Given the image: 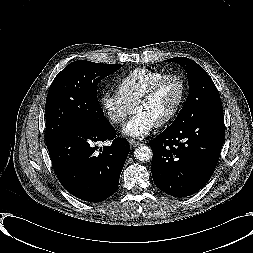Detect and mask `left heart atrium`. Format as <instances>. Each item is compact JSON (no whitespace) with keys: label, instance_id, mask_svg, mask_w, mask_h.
I'll use <instances>...</instances> for the list:
<instances>
[{"label":"left heart atrium","instance_id":"left-heart-atrium-1","mask_svg":"<svg viewBox=\"0 0 253 253\" xmlns=\"http://www.w3.org/2000/svg\"><path fill=\"white\" fill-rule=\"evenodd\" d=\"M157 123L143 113H136L129 123L124 127L123 134L133 138H144L147 136Z\"/></svg>","mask_w":253,"mask_h":253}]
</instances>
